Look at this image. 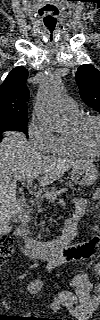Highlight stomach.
I'll return each mask as SVG.
<instances>
[{"mask_svg": "<svg viewBox=\"0 0 100 320\" xmlns=\"http://www.w3.org/2000/svg\"><path fill=\"white\" fill-rule=\"evenodd\" d=\"M99 178L97 167L92 161H84L78 166H74L71 171L72 181L80 186L92 185Z\"/></svg>", "mask_w": 100, "mask_h": 320, "instance_id": "1", "label": "stomach"}]
</instances>
